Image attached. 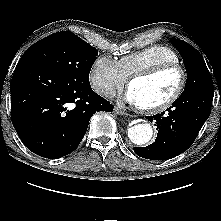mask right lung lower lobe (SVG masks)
<instances>
[{"label": "right lung lower lobe", "instance_id": "98d812e1", "mask_svg": "<svg viewBox=\"0 0 221 221\" xmlns=\"http://www.w3.org/2000/svg\"><path fill=\"white\" fill-rule=\"evenodd\" d=\"M10 91L11 119L19 138L30 151L49 159L75 150L94 113L113 110L90 84L30 60L17 64Z\"/></svg>", "mask_w": 221, "mask_h": 221}]
</instances>
